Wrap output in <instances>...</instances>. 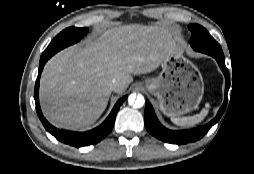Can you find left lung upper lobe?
Wrapping results in <instances>:
<instances>
[{"label": "left lung upper lobe", "instance_id": "5c2ea615", "mask_svg": "<svg viewBox=\"0 0 254 174\" xmlns=\"http://www.w3.org/2000/svg\"><path fill=\"white\" fill-rule=\"evenodd\" d=\"M188 28L192 32L190 45L194 50L206 53L211 56H223L220 45L204 27L197 24H192L189 25Z\"/></svg>", "mask_w": 254, "mask_h": 174}]
</instances>
